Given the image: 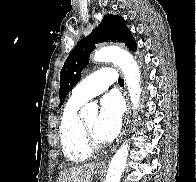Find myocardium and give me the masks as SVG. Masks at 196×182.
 Segmentation results:
<instances>
[{"instance_id":"obj_1","label":"myocardium","mask_w":196,"mask_h":182,"mask_svg":"<svg viewBox=\"0 0 196 182\" xmlns=\"http://www.w3.org/2000/svg\"><path fill=\"white\" fill-rule=\"evenodd\" d=\"M81 129H82L83 140L86 146L91 151H96L103 147V143L100 140L96 139L91 133V131L88 129V127L85 124V120H81Z\"/></svg>"}]
</instances>
